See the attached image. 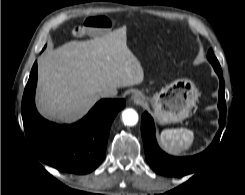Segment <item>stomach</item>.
<instances>
[{
	"label": "stomach",
	"mask_w": 245,
	"mask_h": 195,
	"mask_svg": "<svg viewBox=\"0 0 245 195\" xmlns=\"http://www.w3.org/2000/svg\"><path fill=\"white\" fill-rule=\"evenodd\" d=\"M193 81L186 78L176 79L149 100L156 120L160 124L178 123L186 119L199 97Z\"/></svg>",
	"instance_id": "0dacf381"
}]
</instances>
